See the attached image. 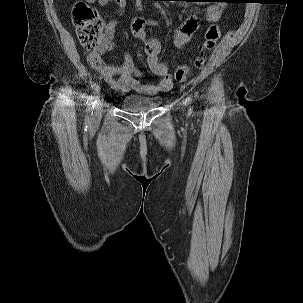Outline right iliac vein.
Here are the masks:
<instances>
[{"label": "right iliac vein", "instance_id": "1", "mask_svg": "<svg viewBox=\"0 0 303 303\" xmlns=\"http://www.w3.org/2000/svg\"><path fill=\"white\" fill-rule=\"evenodd\" d=\"M103 110V100L101 98H97L94 106L93 112V121L98 122L101 119Z\"/></svg>", "mask_w": 303, "mask_h": 303}]
</instances>
